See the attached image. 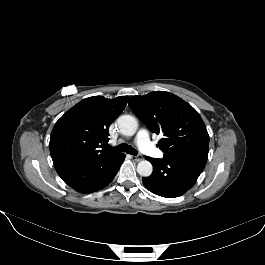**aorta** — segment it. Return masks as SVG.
<instances>
[{"mask_svg":"<svg viewBox=\"0 0 265 265\" xmlns=\"http://www.w3.org/2000/svg\"><path fill=\"white\" fill-rule=\"evenodd\" d=\"M119 131L122 135L133 136L138 127L136 119L131 115H122L117 120ZM153 166L147 160H142L137 165V172L140 176L148 177L152 174Z\"/></svg>","mask_w":265,"mask_h":265,"instance_id":"aorta-1","label":"aorta"}]
</instances>
